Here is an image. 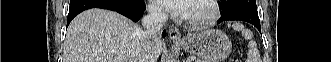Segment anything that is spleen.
<instances>
[{
	"instance_id": "spleen-1",
	"label": "spleen",
	"mask_w": 331,
	"mask_h": 62,
	"mask_svg": "<svg viewBox=\"0 0 331 62\" xmlns=\"http://www.w3.org/2000/svg\"><path fill=\"white\" fill-rule=\"evenodd\" d=\"M232 28L236 31H241L242 36L246 39L249 40V50L247 53V61L246 62H258L257 60L259 59V52L256 47V43L253 41V33L245 29L244 26L238 22H235L232 24Z\"/></svg>"
}]
</instances>
